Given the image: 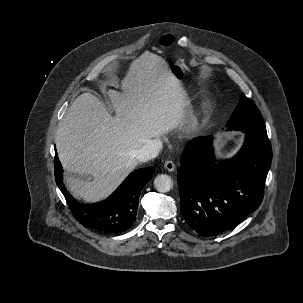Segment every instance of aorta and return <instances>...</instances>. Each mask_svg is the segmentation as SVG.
Masks as SVG:
<instances>
[{
    "label": "aorta",
    "mask_w": 303,
    "mask_h": 303,
    "mask_svg": "<svg viewBox=\"0 0 303 303\" xmlns=\"http://www.w3.org/2000/svg\"><path fill=\"white\" fill-rule=\"evenodd\" d=\"M154 186L158 192H168L173 186V182L170 176L161 174L154 179Z\"/></svg>",
    "instance_id": "aorta-1"
}]
</instances>
